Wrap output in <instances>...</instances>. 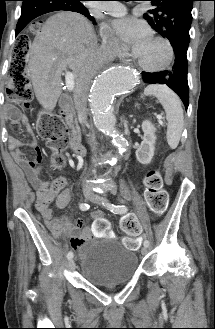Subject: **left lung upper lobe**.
<instances>
[{"label": "left lung upper lobe", "instance_id": "left-lung-upper-lobe-1", "mask_svg": "<svg viewBox=\"0 0 215 329\" xmlns=\"http://www.w3.org/2000/svg\"><path fill=\"white\" fill-rule=\"evenodd\" d=\"M154 6L144 18L150 26L170 42L189 45L192 5L196 0H149Z\"/></svg>", "mask_w": 215, "mask_h": 329}]
</instances>
